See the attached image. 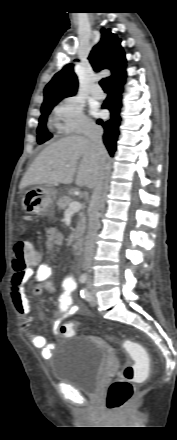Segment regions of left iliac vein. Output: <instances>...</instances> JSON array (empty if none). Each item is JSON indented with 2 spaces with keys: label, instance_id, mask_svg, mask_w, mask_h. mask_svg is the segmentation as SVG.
<instances>
[{
  "label": "left iliac vein",
  "instance_id": "1",
  "mask_svg": "<svg viewBox=\"0 0 177 440\" xmlns=\"http://www.w3.org/2000/svg\"><path fill=\"white\" fill-rule=\"evenodd\" d=\"M90 296H91L90 304L92 306H95L97 304V298L93 290L90 291Z\"/></svg>",
  "mask_w": 177,
  "mask_h": 440
}]
</instances>
